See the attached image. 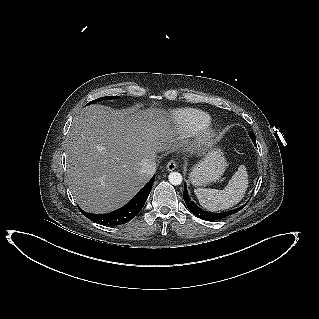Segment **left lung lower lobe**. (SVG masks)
<instances>
[{
	"instance_id": "0a47b994",
	"label": "left lung lower lobe",
	"mask_w": 319,
	"mask_h": 319,
	"mask_svg": "<svg viewBox=\"0 0 319 319\" xmlns=\"http://www.w3.org/2000/svg\"><path fill=\"white\" fill-rule=\"evenodd\" d=\"M253 143L256 144V141H253ZM183 198H184V201H185L187 207L189 208V210L193 214H195L197 217H199L203 220H219V219L225 218L231 214L238 212L240 209H242L244 207V206H242L238 209L228 211V212H223V213H213V212L204 211V210L200 209L197 205H195L194 202L189 200L186 184L184 185Z\"/></svg>"
}]
</instances>
